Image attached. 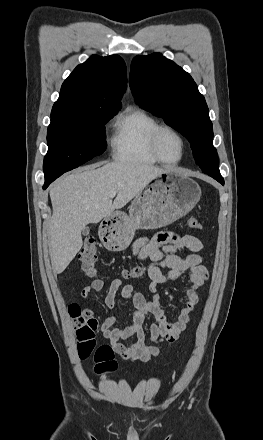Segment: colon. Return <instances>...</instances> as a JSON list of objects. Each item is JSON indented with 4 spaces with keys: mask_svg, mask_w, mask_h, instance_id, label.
I'll use <instances>...</instances> for the list:
<instances>
[{
    "mask_svg": "<svg viewBox=\"0 0 263 440\" xmlns=\"http://www.w3.org/2000/svg\"><path fill=\"white\" fill-rule=\"evenodd\" d=\"M188 226L192 229L201 230V222L191 217ZM98 249L94 238H87L79 253L80 268L88 277L96 274L95 263L98 260ZM144 274V268L140 265L133 266L126 271L125 276L138 279ZM69 315L73 321L77 339L78 355L81 359H87L94 355L95 371L98 374L109 373L115 370L113 350L108 345H96V337L99 332V323L89 310L79 304L72 303L68 307Z\"/></svg>",
    "mask_w": 263,
    "mask_h": 440,
    "instance_id": "obj_1",
    "label": "colon"
}]
</instances>
